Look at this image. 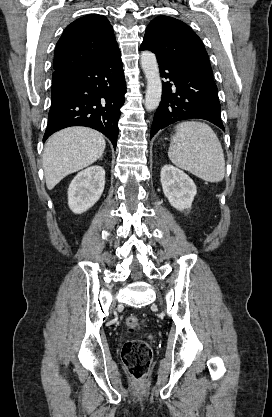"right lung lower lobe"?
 Returning <instances> with one entry per match:
<instances>
[{"instance_id": "98d812e1", "label": "right lung lower lobe", "mask_w": 272, "mask_h": 417, "mask_svg": "<svg viewBox=\"0 0 272 417\" xmlns=\"http://www.w3.org/2000/svg\"><path fill=\"white\" fill-rule=\"evenodd\" d=\"M125 93L118 46L95 64L55 70L43 141L60 129L77 125L102 132L116 148L117 123Z\"/></svg>"}]
</instances>
